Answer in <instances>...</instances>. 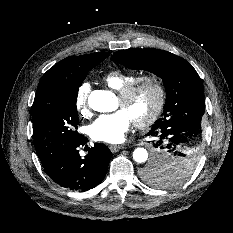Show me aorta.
<instances>
[{
    "instance_id": "obj_1",
    "label": "aorta",
    "mask_w": 233,
    "mask_h": 233,
    "mask_svg": "<svg viewBox=\"0 0 233 233\" xmlns=\"http://www.w3.org/2000/svg\"><path fill=\"white\" fill-rule=\"evenodd\" d=\"M90 108L98 112H111L116 109V97L110 91L94 90L88 97ZM133 159L144 163L148 159V152L144 148H137L133 152Z\"/></svg>"
}]
</instances>
